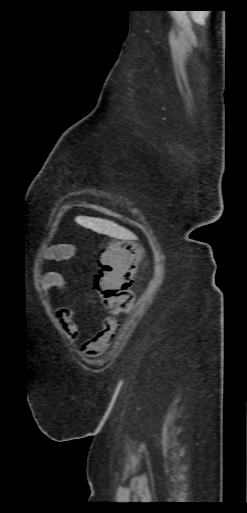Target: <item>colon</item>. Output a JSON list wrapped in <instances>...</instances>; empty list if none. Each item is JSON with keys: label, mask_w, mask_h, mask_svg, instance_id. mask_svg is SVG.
<instances>
[{"label": "colon", "mask_w": 247, "mask_h": 513, "mask_svg": "<svg viewBox=\"0 0 247 513\" xmlns=\"http://www.w3.org/2000/svg\"><path fill=\"white\" fill-rule=\"evenodd\" d=\"M139 262L140 251L133 242H113L100 253L94 288L108 312L121 313L132 305Z\"/></svg>", "instance_id": "1"}]
</instances>
